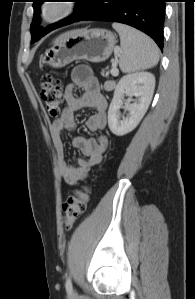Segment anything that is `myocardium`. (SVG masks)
<instances>
[{
  "instance_id": "f54148a6",
  "label": "myocardium",
  "mask_w": 195,
  "mask_h": 299,
  "mask_svg": "<svg viewBox=\"0 0 195 299\" xmlns=\"http://www.w3.org/2000/svg\"><path fill=\"white\" fill-rule=\"evenodd\" d=\"M49 8L57 9V13L49 17L47 11ZM75 3L71 0H51L44 1L40 5V18L48 24H57L68 17H70L75 12Z\"/></svg>"
}]
</instances>
